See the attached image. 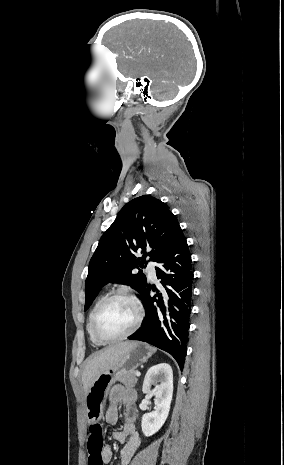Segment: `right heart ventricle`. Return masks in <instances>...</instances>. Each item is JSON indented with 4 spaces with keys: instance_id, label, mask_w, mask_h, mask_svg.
<instances>
[{
    "instance_id": "right-heart-ventricle-1",
    "label": "right heart ventricle",
    "mask_w": 284,
    "mask_h": 465,
    "mask_svg": "<svg viewBox=\"0 0 284 465\" xmlns=\"http://www.w3.org/2000/svg\"><path fill=\"white\" fill-rule=\"evenodd\" d=\"M107 294H102L100 295L94 302V304L92 305L89 313H88V317H87V322H86V332H87V336H88V339L89 341L91 342V344L93 346H100V344H98L94 338L92 337V334H91V321H92V317L94 315V312L96 311L97 307L100 305V303L107 298Z\"/></svg>"
}]
</instances>
